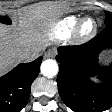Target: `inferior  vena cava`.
<instances>
[{
  "mask_svg": "<svg viewBox=\"0 0 112 112\" xmlns=\"http://www.w3.org/2000/svg\"><path fill=\"white\" fill-rule=\"evenodd\" d=\"M39 55V51L33 49H26L19 54L20 61L31 62Z\"/></svg>",
  "mask_w": 112,
  "mask_h": 112,
  "instance_id": "inferior-vena-cava-1",
  "label": "inferior vena cava"
}]
</instances>
